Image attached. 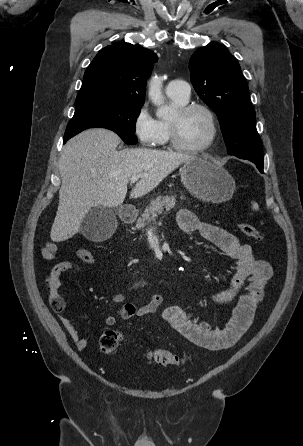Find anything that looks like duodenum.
<instances>
[{
    "instance_id": "duodenum-1",
    "label": "duodenum",
    "mask_w": 303,
    "mask_h": 446,
    "mask_svg": "<svg viewBox=\"0 0 303 446\" xmlns=\"http://www.w3.org/2000/svg\"><path fill=\"white\" fill-rule=\"evenodd\" d=\"M136 217V212L134 209L126 207L121 212V218L125 223L132 222Z\"/></svg>"
}]
</instances>
